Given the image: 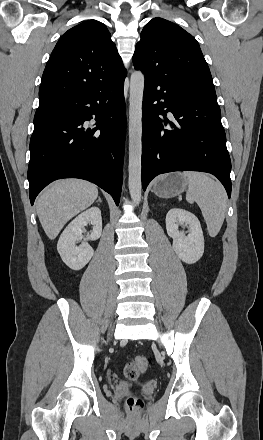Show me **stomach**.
<instances>
[{
  "label": "stomach",
  "mask_w": 263,
  "mask_h": 440,
  "mask_svg": "<svg viewBox=\"0 0 263 440\" xmlns=\"http://www.w3.org/2000/svg\"><path fill=\"white\" fill-rule=\"evenodd\" d=\"M188 184L181 173H170L158 177L152 187V191L159 197L172 198L180 195Z\"/></svg>",
  "instance_id": "stomach-1"
}]
</instances>
